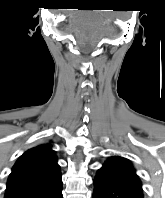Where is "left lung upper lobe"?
Here are the masks:
<instances>
[{
	"label": "left lung upper lobe",
	"mask_w": 165,
	"mask_h": 198,
	"mask_svg": "<svg viewBox=\"0 0 165 198\" xmlns=\"http://www.w3.org/2000/svg\"><path fill=\"white\" fill-rule=\"evenodd\" d=\"M99 170L107 173L120 183L142 192L139 178L128 159L119 156L110 157Z\"/></svg>",
	"instance_id": "obj_1"
}]
</instances>
